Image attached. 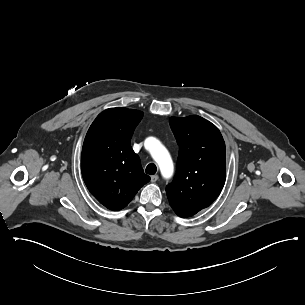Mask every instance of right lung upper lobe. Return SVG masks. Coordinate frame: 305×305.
<instances>
[{"label": "right lung upper lobe", "mask_w": 305, "mask_h": 305, "mask_svg": "<svg viewBox=\"0 0 305 305\" xmlns=\"http://www.w3.org/2000/svg\"><path fill=\"white\" fill-rule=\"evenodd\" d=\"M143 112L110 108L90 126L82 148L81 171L91 194L105 207L123 209L150 177L130 140Z\"/></svg>", "instance_id": "right-lung-upper-lobe-1"}]
</instances>
